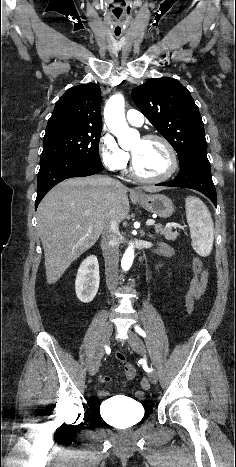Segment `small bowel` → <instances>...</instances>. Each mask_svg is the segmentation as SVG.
I'll return each mask as SVG.
<instances>
[{"instance_id":"small-bowel-1","label":"small bowel","mask_w":236,"mask_h":467,"mask_svg":"<svg viewBox=\"0 0 236 467\" xmlns=\"http://www.w3.org/2000/svg\"><path fill=\"white\" fill-rule=\"evenodd\" d=\"M158 254H160L164 258H170L172 256V250L170 247L166 245H161V247L158 250ZM207 281H208V272L204 269L198 277L192 278L190 282L188 294H190L193 298L199 299L205 291ZM118 354L119 353L116 354L115 359L118 364L124 366V372H125L126 379L128 380L133 379L136 375V370L134 366L132 364L126 363L125 358L123 360H120L118 358ZM130 371L132 372L131 374H129ZM110 380H111V377L108 375H102L100 377V381L102 383L109 382ZM98 395L100 397H107L109 396V392L108 390L101 389L98 391Z\"/></svg>"}]
</instances>
